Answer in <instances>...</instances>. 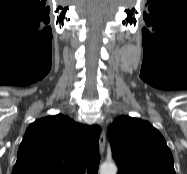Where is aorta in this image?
<instances>
[{"mask_svg": "<svg viewBox=\"0 0 187 174\" xmlns=\"http://www.w3.org/2000/svg\"><path fill=\"white\" fill-rule=\"evenodd\" d=\"M117 167L113 163H103L100 167V174H116Z\"/></svg>", "mask_w": 187, "mask_h": 174, "instance_id": "obj_1", "label": "aorta"}]
</instances>
